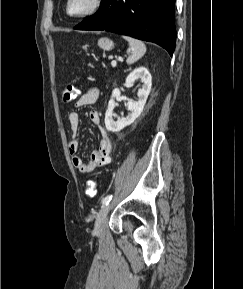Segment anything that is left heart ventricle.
Wrapping results in <instances>:
<instances>
[{
    "label": "left heart ventricle",
    "instance_id": "left-heart-ventricle-1",
    "mask_svg": "<svg viewBox=\"0 0 243 289\" xmlns=\"http://www.w3.org/2000/svg\"><path fill=\"white\" fill-rule=\"evenodd\" d=\"M92 0H72L70 10L73 13L85 11L91 5Z\"/></svg>",
    "mask_w": 243,
    "mask_h": 289
}]
</instances>
